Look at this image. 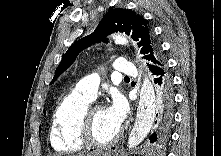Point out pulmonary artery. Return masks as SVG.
<instances>
[{
  "instance_id": "1",
  "label": "pulmonary artery",
  "mask_w": 221,
  "mask_h": 156,
  "mask_svg": "<svg viewBox=\"0 0 221 156\" xmlns=\"http://www.w3.org/2000/svg\"><path fill=\"white\" fill-rule=\"evenodd\" d=\"M113 69L116 73L122 75H133L136 72L135 66L124 58L115 60ZM100 84V77L97 73L82 78L76 85V90L80 93L94 99Z\"/></svg>"
}]
</instances>
